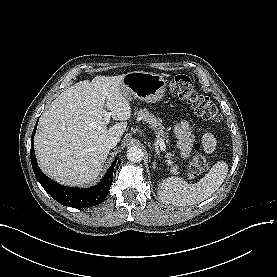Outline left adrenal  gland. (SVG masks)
<instances>
[{
    "mask_svg": "<svg viewBox=\"0 0 277 277\" xmlns=\"http://www.w3.org/2000/svg\"><path fill=\"white\" fill-rule=\"evenodd\" d=\"M155 164H156V163L154 162V163H153V165H154L153 168H154V169H155V167H156Z\"/></svg>",
    "mask_w": 277,
    "mask_h": 277,
    "instance_id": "left-adrenal-gland-1",
    "label": "left adrenal gland"
}]
</instances>
